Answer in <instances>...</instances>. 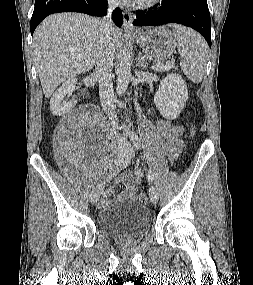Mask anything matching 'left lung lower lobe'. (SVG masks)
<instances>
[{"instance_id": "0a47b994", "label": "left lung lower lobe", "mask_w": 253, "mask_h": 285, "mask_svg": "<svg viewBox=\"0 0 253 285\" xmlns=\"http://www.w3.org/2000/svg\"><path fill=\"white\" fill-rule=\"evenodd\" d=\"M179 23L197 30L211 47V19L207 0H163L149 10L136 11V26Z\"/></svg>"}]
</instances>
